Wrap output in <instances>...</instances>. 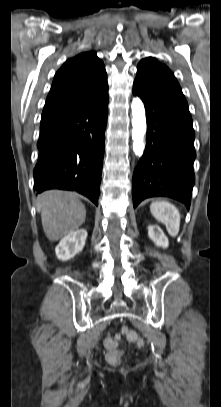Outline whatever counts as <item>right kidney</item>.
<instances>
[{"label":"right kidney","mask_w":221,"mask_h":407,"mask_svg":"<svg viewBox=\"0 0 221 407\" xmlns=\"http://www.w3.org/2000/svg\"><path fill=\"white\" fill-rule=\"evenodd\" d=\"M87 238L85 229L76 230L61 239L55 248L58 259L66 261L82 251Z\"/></svg>","instance_id":"obj_1"}]
</instances>
